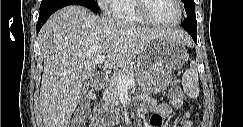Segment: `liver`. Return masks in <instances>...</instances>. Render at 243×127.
Listing matches in <instances>:
<instances>
[{"label": "liver", "instance_id": "1", "mask_svg": "<svg viewBox=\"0 0 243 127\" xmlns=\"http://www.w3.org/2000/svg\"><path fill=\"white\" fill-rule=\"evenodd\" d=\"M158 37L186 44L181 30L149 29L94 15L83 6H66L54 13L39 33L44 69L40 113L44 127H68L84 83L97 68L94 60L105 55V65L124 68Z\"/></svg>", "mask_w": 243, "mask_h": 127}]
</instances>
